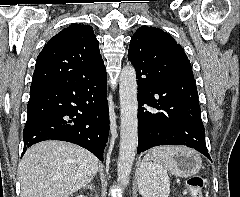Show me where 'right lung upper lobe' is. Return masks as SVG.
Masks as SVG:
<instances>
[{"label":"right lung upper lobe","instance_id":"right-lung-upper-lobe-1","mask_svg":"<svg viewBox=\"0 0 240 197\" xmlns=\"http://www.w3.org/2000/svg\"><path fill=\"white\" fill-rule=\"evenodd\" d=\"M106 72L93 28L71 24L44 46L35 65L32 86L66 80L79 81Z\"/></svg>","mask_w":240,"mask_h":197}]
</instances>
